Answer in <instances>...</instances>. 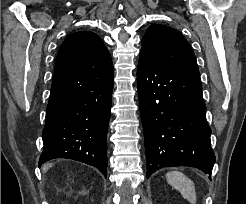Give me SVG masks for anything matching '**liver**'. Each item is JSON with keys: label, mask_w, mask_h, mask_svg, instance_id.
I'll list each match as a JSON object with an SVG mask.
<instances>
[{"label": "liver", "mask_w": 246, "mask_h": 204, "mask_svg": "<svg viewBox=\"0 0 246 204\" xmlns=\"http://www.w3.org/2000/svg\"><path fill=\"white\" fill-rule=\"evenodd\" d=\"M52 166V164H47V165H44L43 168H42V171L43 172H47L48 169Z\"/></svg>", "instance_id": "liver-1"}]
</instances>
